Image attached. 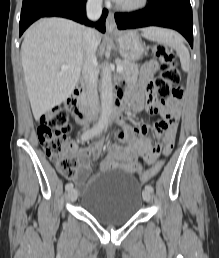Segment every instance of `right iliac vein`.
I'll list each match as a JSON object with an SVG mask.
<instances>
[{"instance_id":"1","label":"right iliac vein","mask_w":219,"mask_h":258,"mask_svg":"<svg viewBox=\"0 0 219 258\" xmlns=\"http://www.w3.org/2000/svg\"><path fill=\"white\" fill-rule=\"evenodd\" d=\"M77 196H78V193H77L76 189L71 188V189L69 190V192H68L69 200H70L71 202H74V201H76Z\"/></svg>"}]
</instances>
